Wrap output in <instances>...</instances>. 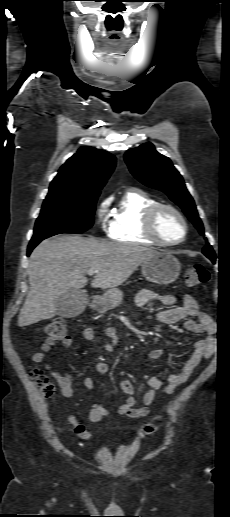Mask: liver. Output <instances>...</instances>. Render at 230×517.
<instances>
[{"instance_id": "6515ba94", "label": "liver", "mask_w": 230, "mask_h": 517, "mask_svg": "<svg viewBox=\"0 0 230 517\" xmlns=\"http://www.w3.org/2000/svg\"><path fill=\"white\" fill-rule=\"evenodd\" d=\"M157 252L151 248L99 241L81 236H57L42 241L31 253L30 289L18 317L20 327L51 319L64 293L87 284L85 273L97 270L91 286L113 289Z\"/></svg>"}]
</instances>
